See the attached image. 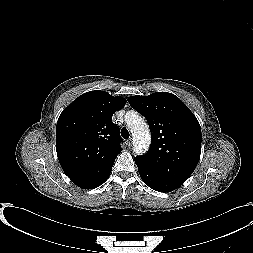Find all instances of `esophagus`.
<instances>
[{
	"instance_id": "34e87169",
	"label": "esophagus",
	"mask_w": 253,
	"mask_h": 253,
	"mask_svg": "<svg viewBox=\"0 0 253 253\" xmlns=\"http://www.w3.org/2000/svg\"><path fill=\"white\" fill-rule=\"evenodd\" d=\"M127 145H128L129 148L132 146V140L131 139L127 140Z\"/></svg>"
}]
</instances>
